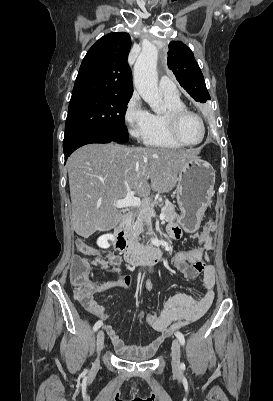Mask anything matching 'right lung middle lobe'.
I'll list each match as a JSON object with an SVG mask.
<instances>
[{
	"mask_svg": "<svg viewBox=\"0 0 273 401\" xmlns=\"http://www.w3.org/2000/svg\"><path fill=\"white\" fill-rule=\"evenodd\" d=\"M131 96L82 94L72 96L65 124V136L92 132L116 142L128 141L125 112Z\"/></svg>",
	"mask_w": 273,
	"mask_h": 401,
	"instance_id": "dd1d6c3e",
	"label": "right lung middle lobe"
}]
</instances>
